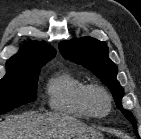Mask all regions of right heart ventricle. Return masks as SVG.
I'll return each instance as SVG.
<instances>
[{"label":"right heart ventricle","instance_id":"1","mask_svg":"<svg viewBox=\"0 0 141 139\" xmlns=\"http://www.w3.org/2000/svg\"><path fill=\"white\" fill-rule=\"evenodd\" d=\"M89 84L69 71L52 75L46 83L49 107L57 112L88 119L94 117L85 103Z\"/></svg>","mask_w":141,"mask_h":139}]
</instances>
